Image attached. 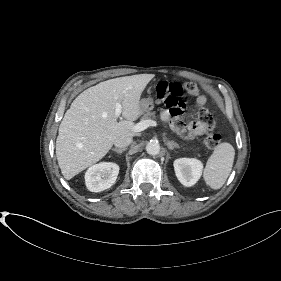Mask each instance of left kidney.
I'll return each instance as SVG.
<instances>
[{
    "instance_id": "obj_1",
    "label": "left kidney",
    "mask_w": 281,
    "mask_h": 281,
    "mask_svg": "<svg viewBox=\"0 0 281 281\" xmlns=\"http://www.w3.org/2000/svg\"><path fill=\"white\" fill-rule=\"evenodd\" d=\"M173 165L178 180L184 186H193L202 175L203 164L198 159L179 158L174 161Z\"/></svg>"
}]
</instances>
